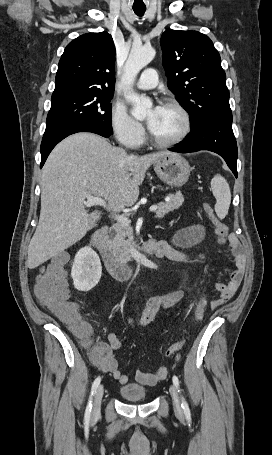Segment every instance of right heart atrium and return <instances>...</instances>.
<instances>
[{"label":"right heart atrium","instance_id":"d8ad5b80","mask_svg":"<svg viewBox=\"0 0 272 455\" xmlns=\"http://www.w3.org/2000/svg\"><path fill=\"white\" fill-rule=\"evenodd\" d=\"M110 125L116 139L126 147H138L145 139L143 126L127 112L121 103L112 105Z\"/></svg>","mask_w":272,"mask_h":455}]
</instances>
